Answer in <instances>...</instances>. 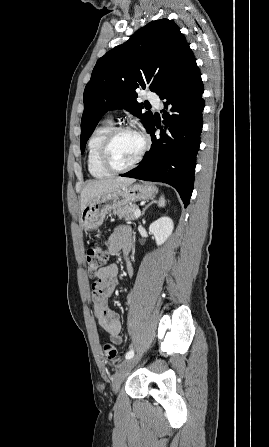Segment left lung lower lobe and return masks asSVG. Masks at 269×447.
<instances>
[{
    "instance_id": "1",
    "label": "left lung lower lobe",
    "mask_w": 269,
    "mask_h": 447,
    "mask_svg": "<svg viewBox=\"0 0 269 447\" xmlns=\"http://www.w3.org/2000/svg\"><path fill=\"white\" fill-rule=\"evenodd\" d=\"M203 91L200 70L188 48L159 95L169 110L163 111L164 126L160 127L153 117L147 129L152 138L151 149L138 167L121 176L167 183L178 191L184 204H189L203 126ZM155 126L160 128V136L155 135Z\"/></svg>"
}]
</instances>
